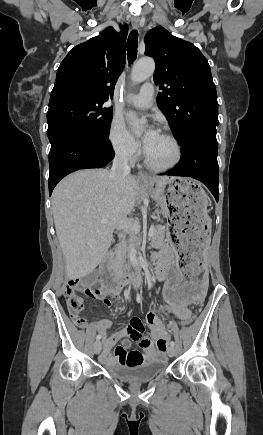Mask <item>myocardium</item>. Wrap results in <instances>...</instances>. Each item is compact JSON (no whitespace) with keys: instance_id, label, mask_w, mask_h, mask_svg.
I'll use <instances>...</instances> for the list:
<instances>
[{"instance_id":"1","label":"myocardium","mask_w":263,"mask_h":435,"mask_svg":"<svg viewBox=\"0 0 263 435\" xmlns=\"http://www.w3.org/2000/svg\"><path fill=\"white\" fill-rule=\"evenodd\" d=\"M161 135H163L164 137H166L167 139H169L172 142V144L175 147L176 155H175L174 160L172 162H170L169 164L156 165L153 162H151V160L147 154V151L145 150V152H144L145 165L149 169H151L155 172H164V171H167V170H170V169L176 167L181 162L182 155H183L181 144L172 133L167 132V131H162Z\"/></svg>"}]
</instances>
